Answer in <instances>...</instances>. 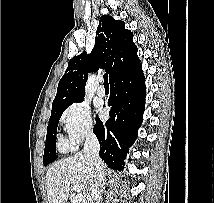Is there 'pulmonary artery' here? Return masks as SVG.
Segmentation results:
<instances>
[{
    "label": "pulmonary artery",
    "instance_id": "1",
    "mask_svg": "<svg viewBox=\"0 0 214 203\" xmlns=\"http://www.w3.org/2000/svg\"><path fill=\"white\" fill-rule=\"evenodd\" d=\"M97 93L99 96H104L105 95V88L102 85L98 86Z\"/></svg>",
    "mask_w": 214,
    "mask_h": 203
}]
</instances>
